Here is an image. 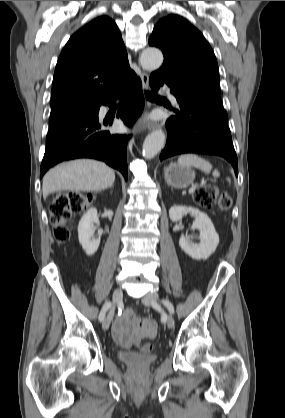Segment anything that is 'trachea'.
I'll list each match as a JSON object with an SVG mask.
<instances>
[{
  "instance_id": "3493384b",
  "label": "trachea",
  "mask_w": 285,
  "mask_h": 418,
  "mask_svg": "<svg viewBox=\"0 0 285 418\" xmlns=\"http://www.w3.org/2000/svg\"><path fill=\"white\" fill-rule=\"evenodd\" d=\"M145 96H146V98H158V96H156V95H154V94H152L148 91H145Z\"/></svg>"
}]
</instances>
